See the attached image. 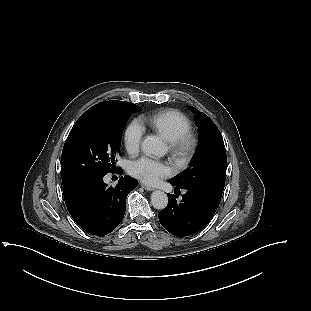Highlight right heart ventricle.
Masks as SVG:
<instances>
[{
    "label": "right heart ventricle",
    "instance_id": "1",
    "mask_svg": "<svg viewBox=\"0 0 311 311\" xmlns=\"http://www.w3.org/2000/svg\"><path fill=\"white\" fill-rule=\"evenodd\" d=\"M152 129L169 143H173L181 135L189 133L191 122L181 111L168 109L157 113L150 119Z\"/></svg>",
    "mask_w": 311,
    "mask_h": 311
}]
</instances>
